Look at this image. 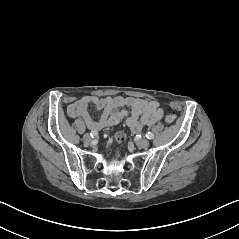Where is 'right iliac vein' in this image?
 I'll list each match as a JSON object with an SVG mask.
<instances>
[{
	"label": "right iliac vein",
	"mask_w": 239,
	"mask_h": 239,
	"mask_svg": "<svg viewBox=\"0 0 239 239\" xmlns=\"http://www.w3.org/2000/svg\"><path fill=\"white\" fill-rule=\"evenodd\" d=\"M83 140H84L85 143L89 144L92 141V138H91L90 134L86 133L83 136Z\"/></svg>",
	"instance_id": "obj_1"
}]
</instances>
